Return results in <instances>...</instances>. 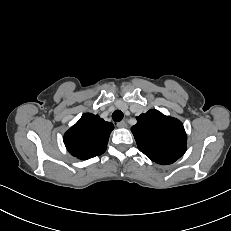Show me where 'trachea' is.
<instances>
[{"label":"trachea","instance_id":"3493384b","mask_svg":"<svg viewBox=\"0 0 231 231\" xmlns=\"http://www.w3.org/2000/svg\"><path fill=\"white\" fill-rule=\"evenodd\" d=\"M123 112L120 111V110H115L112 114V119L115 121V122H120L122 119H123Z\"/></svg>","mask_w":231,"mask_h":231}]
</instances>
